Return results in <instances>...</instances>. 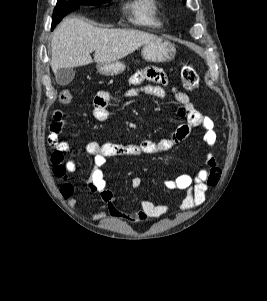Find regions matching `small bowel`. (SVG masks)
Segmentation results:
<instances>
[{
    "label": "small bowel",
    "mask_w": 267,
    "mask_h": 301,
    "mask_svg": "<svg viewBox=\"0 0 267 301\" xmlns=\"http://www.w3.org/2000/svg\"><path fill=\"white\" fill-rule=\"evenodd\" d=\"M145 81H151L156 84L144 85ZM130 88L126 92L127 97H136L139 94H145L158 99H166L167 92L164 86L168 85L167 75L160 69L147 68L136 71L130 77ZM174 98L179 104L178 114L186 119L172 136L160 141L142 140L139 143L117 144L112 142L98 143L90 142L86 146L88 154L93 156V167L88 177L83 179L84 184L90 192L99 196L102 205L99 212H108L113 217H128L135 221L154 220L164 215L169 206L165 203H154L150 200H141V207L138 210L124 212L115 205L113 192L107 188L103 172V166L108 158L116 156H139L142 154H155L172 149L178 142L186 139L193 128H202L204 130L203 140L210 147L214 148L217 135L214 130V122L208 116L203 115L196 110L189 97L173 89ZM111 94L107 90H101L96 93L93 99V116L98 121H106L110 117L109 103ZM65 124L63 113L60 110L55 111L53 121L48 135V144L52 148L51 163L53 165V174L60 181L59 191L61 196L67 200L71 209H76L77 199L74 197V185L68 178V173L77 170V164L73 159H66L65 155L69 151L66 142L60 140L62 128ZM222 171L217 164L216 159L209 155L206 167L200 169L195 176L181 174L172 180H165L164 185L169 190H186L187 195L180 204V210L188 211L200 206L204 200L209 188L215 187ZM142 184L140 177H134L131 181L133 188H138Z\"/></svg>",
    "instance_id": "c3829d8e"
}]
</instances>
